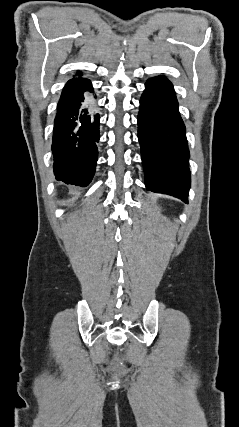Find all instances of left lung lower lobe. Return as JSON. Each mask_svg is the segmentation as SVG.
I'll list each match as a JSON object with an SVG mask.
<instances>
[{"instance_id":"0a47b994","label":"left lung lower lobe","mask_w":239,"mask_h":427,"mask_svg":"<svg viewBox=\"0 0 239 427\" xmlns=\"http://www.w3.org/2000/svg\"><path fill=\"white\" fill-rule=\"evenodd\" d=\"M138 138L147 190L188 202L189 150L185 126L171 82L149 79L140 99Z\"/></svg>"}]
</instances>
